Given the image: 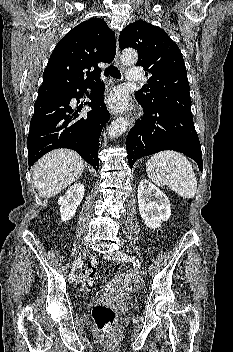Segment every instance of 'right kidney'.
I'll list each match as a JSON object with an SVG mask.
<instances>
[{"mask_svg":"<svg viewBox=\"0 0 233 352\" xmlns=\"http://www.w3.org/2000/svg\"><path fill=\"white\" fill-rule=\"evenodd\" d=\"M84 191L85 187L83 184L75 183L58 199L62 221L70 220L76 213L77 207L83 199Z\"/></svg>","mask_w":233,"mask_h":352,"instance_id":"right-kidney-1","label":"right kidney"}]
</instances>
